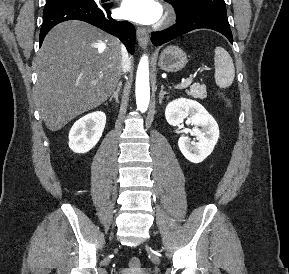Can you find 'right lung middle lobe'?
<instances>
[{
    "label": "right lung middle lobe",
    "instance_id": "right-lung-middle-lobe-1",
    "mask_svg": "<svg viewBox=\"0 0 289 274\" xmlns=\"http://www.w3.org/2000/svg\"><path fill=\"white\" fill-rule=\"evenodd\" d=\"M70 1H84V0H46V6Z\"/></svg>",
    "mask_w": 289,
    "mask_h": 274
}]
</instances>
